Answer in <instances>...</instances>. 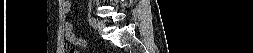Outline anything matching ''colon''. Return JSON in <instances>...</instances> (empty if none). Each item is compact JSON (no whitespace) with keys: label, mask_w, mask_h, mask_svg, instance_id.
Returning <instances> with one entry per match:
<instances>
[{"label":"colon","mask_w":253,"mask_h":53,"mask_svg":"<svg viewBox=\"0 0 253 53\" xmlns=\"http://www.w3.org/2000/svg\"><path fill=\"white\" fill-rule=\"evenodd\" d=\"M69 52L70 53H76V51L74 49H70Z\"/></svg>","instance_id":"5ec220e1"}]
</instances>
